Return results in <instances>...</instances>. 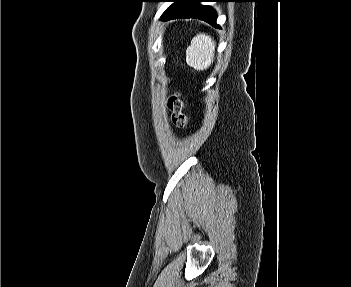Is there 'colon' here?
Returning a JSON list of instances; mask_svg holds the SVG:
<instances>
[{"instance_id": "colon-1", "label": "colon", "mask_w": 351, "mask_h": 287, "mask_svg": "<svg viewBox=\"0 0 351 287\" xmlns=\"http://www.w3.org/2000/svg\"><path fill=\"white\" fill-rule=\"evenodd\" d=\"M168 108L171 112V120L174 126L183 128L187 123L184 113V102L179 92L174 93L168 100Z\"/></svg>"}]
</instances>
